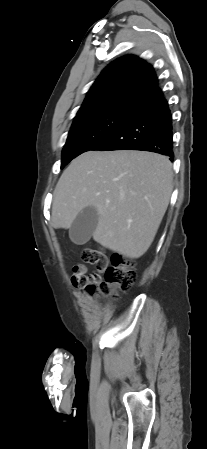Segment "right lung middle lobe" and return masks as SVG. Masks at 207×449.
Instances as JSON below:
<instances>
[{
	"label": "right lung middle lobe",
	"instance_id": "obj_1",
	"mask_svg": "<svg viewBox=\"0 0 207 449\" xmlns=\"http://www.w3.org/2000/svg\"><path fill=\"white\" fill-rule=\"evenodd\" d=\"M134 113L113 109L75 117L63 148L61 169L73 158L92 150L122 127Z\"/></svg>",
	"mask_w": 207,
	"mask_h": 449
}]
</instances>
